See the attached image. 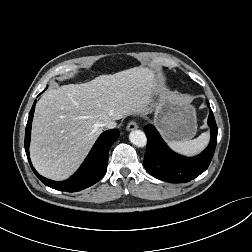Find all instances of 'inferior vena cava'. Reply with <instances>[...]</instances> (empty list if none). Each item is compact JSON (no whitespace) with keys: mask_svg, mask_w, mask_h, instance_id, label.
<instances>
[{"mask_svg":"<svg viewBox=\"0 0 252 252\" xmlns=\"http://www.w3.org/2000/svg\"><path fill=\"white\" fill-rule=\"evenodd\" d=\"M117 125L116 121L114 120H105L103 123H102V126L107 128V129H113L115 128Z\"/></svg>","mask_w":252,"mask_h":252,"instance_id":"obj_1","label":"inferior vena cava"}]
</instances>
